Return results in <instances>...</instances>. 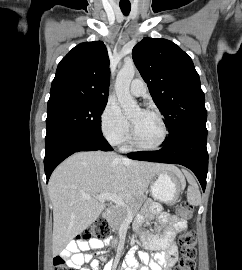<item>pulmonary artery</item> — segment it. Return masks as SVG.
Segmentation results:
<instances>
[{"mask_svg": "<svg viewBox=\"0 0 242 270\" xmlns=\"http://www.w3.org/2000/svg\"><path fill=\"white\" fill-rule=\"evenodd\" d=\"M130 93L136 97L144 95L146 93L145 82L141 79H134L130 85Z\"/></svg>", "mask_w": 242, "mask_h": 270, "instance_id": "1", "label": "pulmonary artery"}]
</instances>
